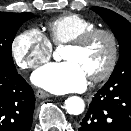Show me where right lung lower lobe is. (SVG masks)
Listing matches in <instances>:
<instances>
[{"label": "right lung lower lobe", "instance_id": "right-lung-lower-lobe-1", "mask_svg": "<svg viewBox=\"0 0 131 131\" xmlns=\"http://www.w3.org/2000/svg\"><path fill=\"white\" fill-rule=\"evenodd\" d=\"M34 107L31 86L15 68L0 66V131H29Z\"/></svg>", "mask_w": 131, "mask_h": 131}]
</instances>
